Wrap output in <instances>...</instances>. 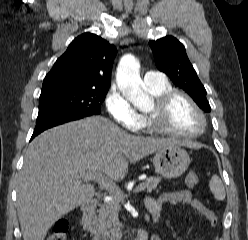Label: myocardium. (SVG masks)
I'll list each match as a JSON object with an SVG mask.
<instances>
[{
    "mask_svg": "<svg viewBox=\"0 0 248 240\" xmlns=\"http://www.w3.org/2000/svg\"><path fill=\"white\" fill-rule=\"evenodd\" d=\"M177 97H183L184 99H186L190 103V105L196 110L202 120V127L200 130L193 133H181L163 126L161 118L165 114L166 110L169 108L171 102ZM146 120L147 125L151 131L160 135L176 138H197L201 136L207 128V118L201 107L188 93L178 89H171L161 93L157 97H154L152 109L146 113Z\"/></svg>",
    "mask_w": 248,
    "mask_h": 240,
    "instance_id": "myocardium-1",
    "label": "myocardium"
}]
</instances>
